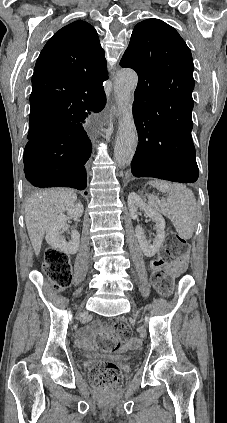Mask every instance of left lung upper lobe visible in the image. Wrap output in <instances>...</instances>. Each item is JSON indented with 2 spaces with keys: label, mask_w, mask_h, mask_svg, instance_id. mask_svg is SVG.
<instances>
[{
  "label": "left lung upper lobe",
  "mask_w": 227,
  "mask_h": 423,
  "mask_svg": "<svg viewBox=\"0 0 227 423\" xmlns=\"http://www.w3.org/2000/svg\"><path fill=\"white\" fill-rule=\"evenodd\" d=\"M120 65L138 74L133 107L158 112L192 111V55L167 23L154 18L138 23Z\"/></svg>",
  "instance_id": "1"
}]
</instances>
